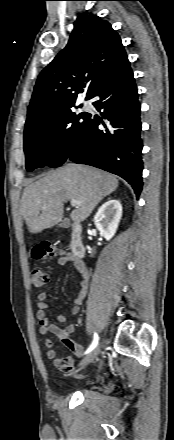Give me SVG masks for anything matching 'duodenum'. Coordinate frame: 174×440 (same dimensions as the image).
<instances>
[{
    "mask_svg": "<svg viewBox=\"0 0 174 440\" xmlns=\"http://www.w3.org/2000/svg\"><path fill=\"white\" fill-rule=\"evenodd\" d=\"M70 249L73 256L81 260L85 256V245L82 238V225L75 224L72 228V233L70 237Z\"/></svg>",
    "mask_w": 174,
    "mask_h": 440,
    "instance_id": "410a0bca",
    "label": "duodenum"
}]
</instances>
